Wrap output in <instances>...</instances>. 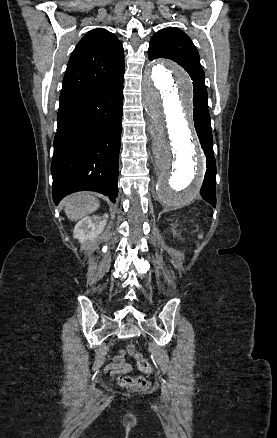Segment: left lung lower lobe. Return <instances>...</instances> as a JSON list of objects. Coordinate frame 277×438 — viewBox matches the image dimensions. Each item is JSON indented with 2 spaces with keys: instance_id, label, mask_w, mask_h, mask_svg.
<instances>
[{
  "instance_id": "left-lung-lower-lobe-1",
  "label": "left lung lower lobe",
  "mask_w": 277,
  "mask_h": 438,
  "mask_svg": "<svg viewBox=\"0 0 277 438\" xmlns=\"http://www.w3.org/2000/svg\"><path fill=\"white\" fill-rule=\"evenodd\" d=\"M194 125L201 143V147L207 158V171L200 194L204 200L215 207L216 161L213 153V138L211 133L209 113H201L194 110Z\"/></svg>"
}]
</instances>
